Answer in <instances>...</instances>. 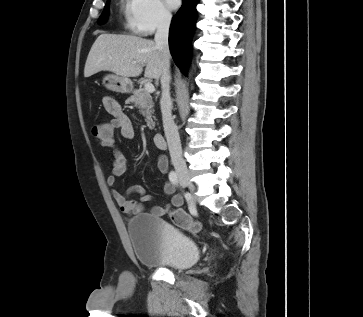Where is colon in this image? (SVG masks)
I'll use <instances>...</instances> for the list:
<instances>
[{
  "label": "colon",
  "instance_id": "5ec220e1",
  "mask_svg": "<svg viewBox=\"0 0 363 317\" xmlns=\"http://www.w3.org/2000/svg\"><path fill=\"white\" fill-rule=\"evenodd\" d=\"M99 125H94L92 128L93 135H98L99 133ZM172 222L179 228L197 233L201 230V224L195 221L189 214L180 210V209H172L169 213Z\"/></svg>",
  "mask_w": 363,
  "mask_h": 317
}]
</instances>
